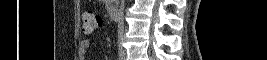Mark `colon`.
<instances>
[{"mask_svg":"<svg viewBox=\"0 0 267 60\" xmlns=\"http://www.w3.org/2000/svg\"><path fill=\"white\" fill-rule=\"evenodd\" d=\"M101 16L92 10H87L82 15V29L86 33H91L101 25Z\"/></svg>","mask_w":267,"mask_h":60,"instance_id":"5ec220e1","label":"colon"}]
</instances>
